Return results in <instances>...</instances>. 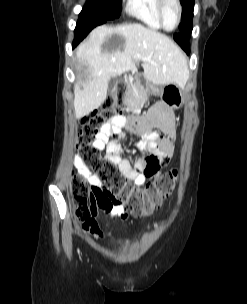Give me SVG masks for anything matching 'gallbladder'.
<instances>
[{"label":"gallbladder","instance_id":"bac80fb5","mask_svg":"<svg viewBox=\"0 0 247 304\" xmlns=\"http://www.w3.org/2000/svg\"><path fill=\"white\" fill-rule=\"evenodd\" d=\"M118 83L117 77H111L108 83V92L113 93Z\"/></svg>","mask_w":247,"mask_h":304}]
</instances>
